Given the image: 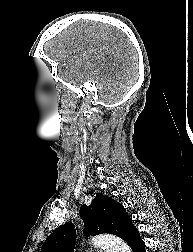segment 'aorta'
<instances>
[{
  "label": "aorta",
  "instance_id": "obj_1",
  "mask_svg": "<svg viewBox=\"0 0 193 252\" xmlns=\"http://www.w3.org/2000/svg\"><path fill=\"white\" fill-rule=\"evenodd\" d=\"M94 247H100L105 252H131L129 245L121 238L113 235H98L91 239Z\"/></svg>",
  "mask_w": 193,
  "mask_h": 252
}]
</instances>
